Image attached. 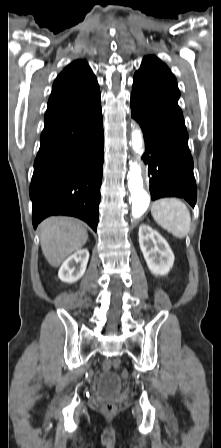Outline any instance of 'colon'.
<instances>
[{
	"label": "colon",
	"mask_w": 221,
	"mask_h": 448,
	"mask_svg": "<svg viewBox=\"0 0 221 448\" xmlns=\"http://www.w3.org/2000/svg\"><path fill=\"white\" fill-rule=\"evenodd\" d=\"M112 368L119 371L120 375L123 378H127L129 376L128 370L121 367V363L119 360H105L103 363V370L109 371ZM102 411L107 416H114L117 413V406L113 402L107 401L103 403Z\"/></svg>",
	"instance_id": "5ec220e1"
}]
</instances>
